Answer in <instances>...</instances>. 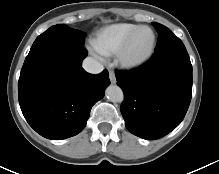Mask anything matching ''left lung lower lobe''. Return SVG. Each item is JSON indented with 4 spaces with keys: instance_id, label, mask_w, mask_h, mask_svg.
Returning <instances> with one entry per match:
<instances>
[{
    "instance_id": "0a47b994",
    "label": "left lung lower lobe",
    "mask_w": 219,
    "mask_h": 174,
    "mask_svg": "<svg viewBox=\"0 0 219 174\" xmlns=\"http://www.w3.org/2000/svg\"><path fill=\"white\" fill-rule=\"evenodd\" d=\"M115 75L125 96L121 113L132 134L155 140L181 123L192 94V65L186 48L155 52L140 68Z\"/></svg>"
}]
</instances>
